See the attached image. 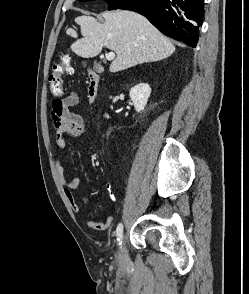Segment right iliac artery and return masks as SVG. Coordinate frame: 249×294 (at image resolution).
Returning a JSON list of instances; mask_svg holds the SVG:
<instances>
[{"mask_svg":"<svg viewBox=\"0 0 249 294\" xmlns=\"http://www.w3.org/2000/svg\"><path fill=\"white\" fill-rule=\"evenodd\" d=\"M122 233H123V225L122 223H119L116 229V234H117V241L119 245L122 244Z\"/></svg>","mask_w":249,"mask_h":294,"instance_id":"obj_1","label":"right iliac artery"}]
</instances>
